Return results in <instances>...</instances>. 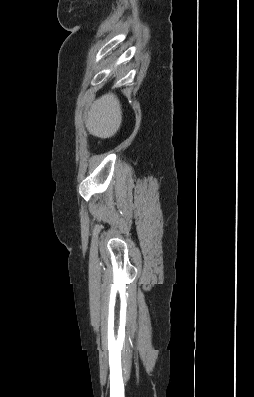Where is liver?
<instances>
[{
    "label": "liver",
    "instance_id": "obj_1",
    "mask_svg": "<svg viewBox=\"0 0 254 397\" xmlns=\"http://www.w3.org/2000/svg\"><path fill=\"white\" fill-rule=\"evenodd\" d=\"M121 123L120 101L114 93H107L93 102L85 125L90 134L106 139L116 134Z\"/></svg>",
    "mask_w": 254,
    "mask_h": 397
}]
</instances>
